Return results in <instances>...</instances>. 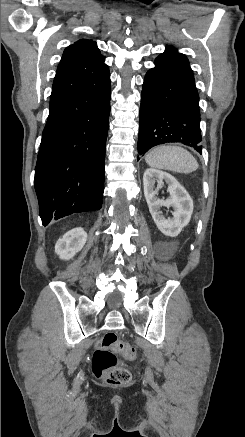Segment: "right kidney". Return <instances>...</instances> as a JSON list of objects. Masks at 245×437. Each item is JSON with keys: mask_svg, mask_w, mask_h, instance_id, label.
<instances>
[{"mask_svg": "<svg viewBox=\"0 0 245 437\" xmlns=\"http://www.w3.org/2000/svg\"><path fill=\"white\" fill-rule=\"evenodd\" d=\"M87 233L83 228H74L64 234L55 245V253L61 259L69 260L79 252L85 245Z\"/></svg>", "mask_w": 245, "mask_h": 437, "instance_id": "1", "label": "right kidney"}]
</instances>
